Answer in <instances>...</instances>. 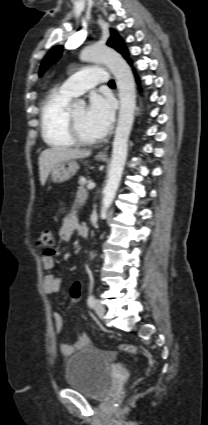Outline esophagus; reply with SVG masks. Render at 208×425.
<instances>
[{
  "label": "esophagus",
  "mask_w": 208,
  "mask_h": 425,
  "mask_svg": "<svg viewBox=\"0 0 208 425\" xmlns=\"http://www.w3.org/2000/svg\"><path fill=\"white\" fill-rule=\"evenodd\" d=\"M108 147H106L104 150L98 152V157H106L107 156Z\"/></svg>",
  "instance_id": "34e87169"
}]
</instances>
